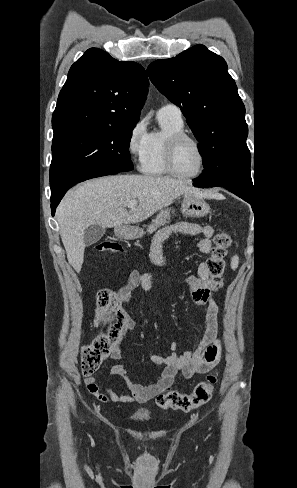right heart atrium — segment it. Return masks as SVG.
<instances>
[{
	"label": "right heart atrium",
	"mask_w": 297,
	"mask_h": 488,
	"mask_svg": "<svg viewBox=\"0 0 297 488\" xmlns=\"http://www.w3.org/2000/svg\"><path fill=\"white\" fill-rule=\"evenodd\" d=\"M148 133L143 119L131 127L127 137V151L133 160L141 165L147 151Z\"/></svg>",
	"instance_id": "obj_1"
}]
</instances>
